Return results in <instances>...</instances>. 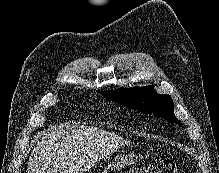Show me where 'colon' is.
Masks as SVG:
<instances>
[{"label": "colon", "instance_id": "5ec220e1", "mask_svg": "<svg viewBox=\"0 0 219 173\" xmlns=\"http://www.w3.org/2000/svg\"><path fill=\"white\" fill-rule=\"evenodd\" d=\"M131 173H182L176 162L171 159L151 160L146 165Z\"/></svg>", "mask_w": 219, "mask_h": 173}]
</instances>
